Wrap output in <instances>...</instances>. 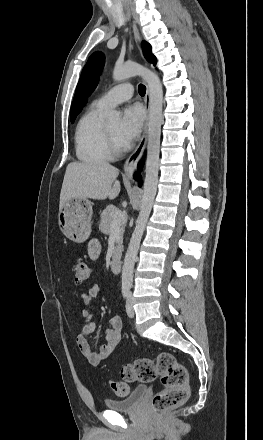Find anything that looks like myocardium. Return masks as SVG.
Masks as SVG:
<instances>
[{
    "mask_svg": "<svg viewBox=\"0 0 263 440\" xmlns=\"http://www.w3.org/2000/svg\"><path fill=\"white\" fill-rule=\"evenodd\" d=\"M104 132H105V137H106V142H107V148H108L110 154L112 156H118V155L122 154L123 147L117 144V142L115 141L114 137L112 136V134L106 124L104 125Z\"/></svg>",
    "mask_w": 263,
    "mask_h": 440,
    "instance_id": "1",
    "label": "myocardium"
}]
</instances>
